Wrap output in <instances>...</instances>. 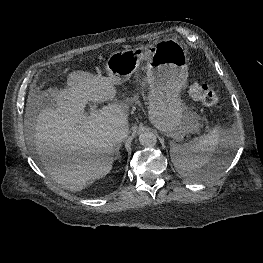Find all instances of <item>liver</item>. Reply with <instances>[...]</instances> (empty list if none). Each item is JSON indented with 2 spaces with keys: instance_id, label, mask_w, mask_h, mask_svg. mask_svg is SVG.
<instances>
[{
  "instance_id": "liver-1",
  "label": "liver",
  "mask_w": 263,
  "mask_h": 263,
  "mask_svg": "<svg viewBox=\"0 0 263 263\" xmlns=\"http://www.w3.org/2000/svg\"><path fill=\"white\" fill-rule=\"evenodd\" d=\"M67 85V89L46 93L55 105L40 109L36 117L32 112L36 99L28 98L25 128L34 130L36 151L51 179L66 190L78 192L111 171L114 144L109 135L115 128H127L128 111L114 103L93 115L85 114L89 101L103 103L115 98L117 90L108 77L77 70L69 73Z\"/></svg>"
}]
</instances>
